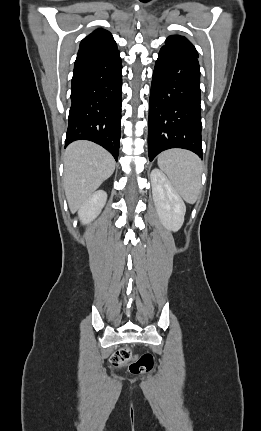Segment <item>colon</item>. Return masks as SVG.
I'll list each match as a JSON object with an SVG mask.
<instances>
[{
	"label": "colon",
	"mask_w": 261,
	"mask_h": 431,
	"mask_svg": "<svg viewBox=\"0 0 261 431\" xmlns=\"http://www.w3.org/2000/svg\"><path fill=\"white\" fill-rule=\"evenodd\" d=\"M110 362L115 368L128 367L133 374H143L152 369L154 360L150 353L135 357L129 348H121L111 355Z\"/></svg>",
	"instance_id": "obj_1"
}]
</instances>
